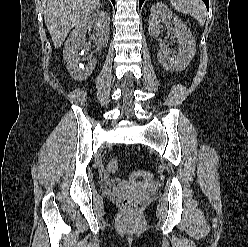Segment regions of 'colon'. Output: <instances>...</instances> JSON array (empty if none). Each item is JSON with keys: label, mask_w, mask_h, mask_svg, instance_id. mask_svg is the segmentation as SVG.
<instances>
[{"label": "colon", "mask_w": 248, "mask_h": 247, "mask_svg": "<svg viewBox=\"0 0 248 247\" xmlns=\"http://www.w3.org/2000/svg\"><path fill=\"white\" fill-rule=\"evenodd\" d=\"M107 168H108L109 171L115 172L119 168V162L116 159H110L108 164H107ZM141 176L145 177L148 180H151L152 177H153V175L151 173L144 172V171H134L131 174L132 178H138V177H141ZM123 206L126 209H133L135 207V202L132 199H129V198L124 199L123 200Z\"/></svg>", "instance_id": "1"}]
</instances>
